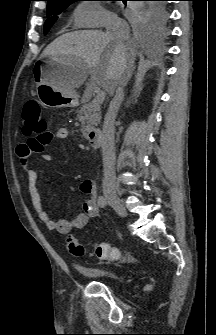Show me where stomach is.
<instances>
[{"mask_svg":"<svg viewBox=\"0 0 216 335\" xmlns=\"http://www.w3.org/2000/svg\"><path fill=\"white\" fill-rule=\"evenodd\" d=\"M73 59L42 57L33 67L34 79L37 82V95L40 102L50 108L76 107L79 104L75 91L64 89L65 75L72 67Z\"/></svg>","mask_w":216,"mask_h":335,"instance_id":"1","label":"stomach"}]
</instances>
